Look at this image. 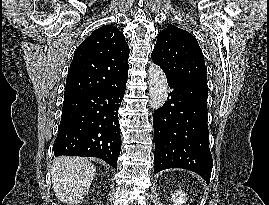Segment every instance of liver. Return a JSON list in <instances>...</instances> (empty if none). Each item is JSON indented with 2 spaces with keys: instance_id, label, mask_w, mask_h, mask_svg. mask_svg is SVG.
I'll list each match as a JSON object with an SVG mask.
<instances>
[{
  "instance_id": "obj_1",
  "label": "liver",
  "mask_w": 269,
  "mask_h": 205,
  "mask_svg": "<svg viewBox=\"0 0 269 205\" xmlns=\"http://www.w3.org/2000/svg\"><path fill=\"white\" fill-rule=\"evenodd\" d=\"M95 172V166L87 158H56L51 166L55 196L69 205L81 202L88 194Z\"/></svg>"
}]
</instances>
